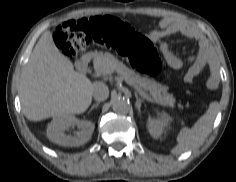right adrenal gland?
Instances as JSON below:
<instances>
[{
  "instance_id": "2a0ac1e0",
  "label": "right adrenal gland",
  "mask_w": 236,
  "mask_h": 182,
  "mask_svg": "<svg viewBox=\"0 0 236 182\" xmlns=\"http://www.w3.org/2000/svg\"><path fill=\"white\" fill-rule=\"evenodd\" d=\"M100 104V101H98L96 104H93L90 108V111L89 113L94 109V108H97V106Z\"/></svg>"
}]
</instances>
